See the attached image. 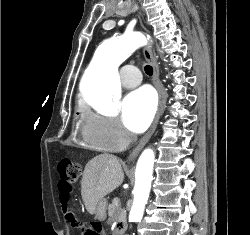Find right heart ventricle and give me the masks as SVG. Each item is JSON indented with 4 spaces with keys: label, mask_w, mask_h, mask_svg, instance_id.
<instances>
[{
    "label": "right heart ventricle",
    "mask_w": 250,
    "mask_h": 235,
    "mask_svg": "<svg viewBox=\"0 0 250 235\" xmlns=\"http://www.w3.org/2000/svg\"><path fill=\"white\" fill-rule=\"evenodd\" d=\"M83 109V107H82ZM83 116H84V112H83ZM84 142H86L87 144L91 145V146H94L93 144H91L85 137L83 138ZM95 147V146H94Z\"/></svg>",
    "instance_id": "right-heart-ventricle-1"
}]
</instances>
